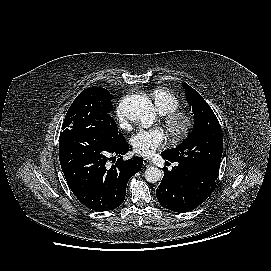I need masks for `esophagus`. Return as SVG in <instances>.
<instances>
[{"label":"esophagus","instance_id":"obj_1","mask_svg":"<svg viewBox=\"0 0 271 271\" xmlns=\"http://www.w3.org/2000/svg\"><path fill=\"white\" fill-rule=\"evenodd\" d=\"M143 164L145 166H151V165H153V163L149 159H147V158H143Z\"/></svg>","mask_w":271,"mask_h":271}]
</instances>
